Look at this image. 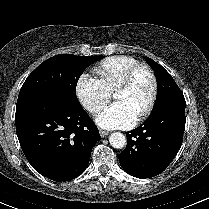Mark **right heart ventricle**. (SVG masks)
<instances>
[{
  "instance_id": "1",
  "label": "right heart ventricle",
  "mask_w": 209,
  "mask_h": 209,
  "mask_svg": "<svg viewBox=\"0 0 209 209\" xmlns=\"http://www.w3.org/2000/svg\"><path fill=\"white\" fill-rule=\"evenodd\" d=\"M139 62L129 56H113L100 62L95 67L98 78L111 92L114 91L125 75Z\"/></svg>"
}]
</instances>
